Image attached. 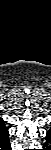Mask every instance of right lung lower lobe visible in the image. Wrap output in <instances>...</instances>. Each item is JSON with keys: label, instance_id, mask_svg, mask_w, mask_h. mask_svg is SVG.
Returning a JSON list of instances; mask_svg holds the SVG:
<instances>
[{"label": "right lung lower lobe", "instance_id": "98d812e1", "mask_svg": "<svg viewBox=\"0 0 51 150\" xmlns=\"http://www.w3.org/2000/svg\"><path fill=\"white\" fill-rule=\"evenodd\" d=\"M3 149L4 150H10L11 149L9 142L7 144L3 145Z\"/></svg>", "mask_w": 51, "mask_h": 150}]
</instances>
